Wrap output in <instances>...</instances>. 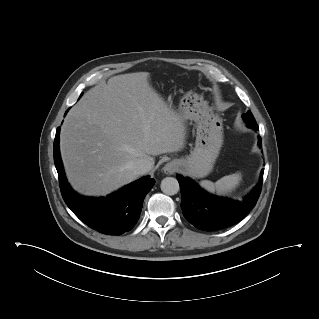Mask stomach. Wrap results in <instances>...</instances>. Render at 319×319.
<instances>
[{
  "mask_svg": "<svg viewBox=\"0 0 319 319\" xmlns=\"http://www.w3.org/2000/svg\"><path fill=\"white\" fill-rule=\"evenodd\" d=\"M179 114L184 120L196 123L195 147L186 157L174 159L170 164L190 177L203 178L214 167L223 144V120L215 114L203 96L186 93L180 100Z\"/></svg>",
  "mask_w": 319,
  "mask_h": 319,
  "instance_id": "stomach-1",
  "label": "stomach"
}]
</instances>
